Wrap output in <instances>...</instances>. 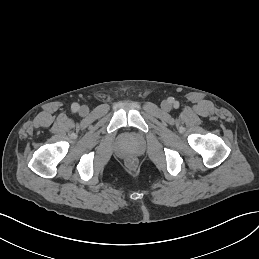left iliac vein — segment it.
<instances>
[{"mask_svg":"<svg viewBox=\"0 0 259 259\" xmlns=\"http://www.w3.org/2000/svg\"><path fill=\"white\" fill-rule=\"evenodd\" d=\"M161 107H162L163 110L168 111V110L171 109L172 106H171V103H170V102H168V101H163V102L161 103Z\"/></svg>","mask_w":259,"mask_h":259,"instance_id":"left-iliac-vein-1","label":"left iliac vein"}]
</instances>
